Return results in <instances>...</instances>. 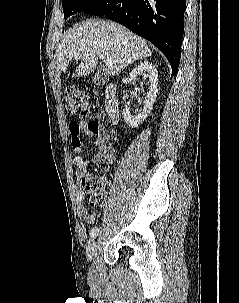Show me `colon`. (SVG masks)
Wrapping results in <instances>:
<instances>
[{
    "mask_svg": "<svg viewBox=\"0 0 239 303\" xmlns=\"http://www.w3.org/2000/svg\"><path fill=\"white\" fill-rule=\"evenodd\" d=\"M66 110L70 115L81 114L86 116L89 110L88 95L78 88L69 87L65 91ZM101 168L106 165L101 163ZM83 192L89 196L92 205H101L105 201L104 184L100 177L85 173L81 177Z\"/></svg>",
    "mask_w": 239,
    "mask_h": 303,
    "instance_id": "5ec220e1",
    "label": "colon"
}]
</instances>
